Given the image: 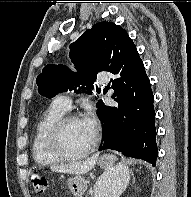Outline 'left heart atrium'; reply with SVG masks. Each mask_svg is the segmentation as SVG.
<instances>
[{"label":"left heart atrium","mask_w":191,"mask_h":197,"mask_svg":"<svg viewBox=\"0 0 191 197\" xmlns=\"http://www.w3.org/2000/svg\"><path fill=\"white\" fill-rule=\"evenodd\" d=\"M80 122L85 132L93 139L98 130V120L95 114L92 112L87 113Z\"/></svg>","instance_id":"left-heart-atrium-1"}]
</instances>
